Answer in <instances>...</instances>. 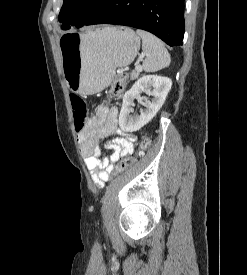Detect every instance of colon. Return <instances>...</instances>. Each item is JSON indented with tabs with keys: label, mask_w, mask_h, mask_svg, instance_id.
<instances>
[{
	"label": "colon",
	"mask_w": 247,
	"mask_h": 275,
	"mask_svg": "<svg viewBox=\"0 0 247 275\" xmlns=\"http://www.w3.org/2000/svg\"><path fill=\"white\" fill-rule=\"evenodd\" d=\"M125 79H126V73L124 71H120L111 84V88H110L111 98H116L120 96V94L124 89ZM70 100H71V105L73 110L75 129L77 132H80L84 128L87 122L89 109L85 100L78 95L72 94L70 97ZM148 145H149V138L145 136L140 144L139 150L136 153L120 160L117 163L112 173V176H116L120 173H123L129 167L134 165L139 160L140 156L144 153V150L148 147Z\"/></svg>",
	"instance_id": "colon-1"
}]
</instances>
